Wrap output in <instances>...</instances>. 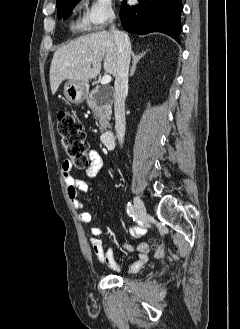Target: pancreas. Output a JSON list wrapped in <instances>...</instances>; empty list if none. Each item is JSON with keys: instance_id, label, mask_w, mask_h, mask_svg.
<instances>
[{"instance_id": "cf45deb5", "label": "pancreas", "mask_w": 240, "mask_h": 329, "mask_svg": "<svg viewBox=\"0 0 240 329\" xmlns=\"http://www.w3.org/2000/svg\"><path fill=\"white\" fill-rule=\"evenodd\" d=\"M105 88L96 86L86 97L89 108L94 112L98 120V127L103 133L111 127L109 121L112 115V96L104 94Z\"/></svg>"}]
</instances>
